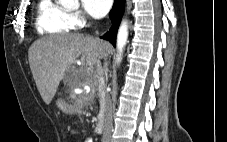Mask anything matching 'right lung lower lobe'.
<instances>
[{
    "instance_id": "1",
    "label": "right lung lower lobe",
    "mask_w": 227,
    "mask_h": 142,
    "mask_svg": "<svg viewBox=\"0 0 227 142\" xmlns=\"http://www.w3.org/2000/svg\"><path fill=\"white\" fill-rule=\"evenodd\" d=\"M125 0H115L114 6L110 12V18L112 20V27L105 33L104 39L109 40L113 46L116 43L117 30L123 15Z\"/></svg>"
}]
</instances>
